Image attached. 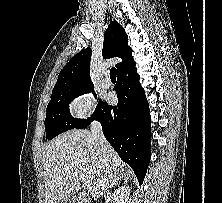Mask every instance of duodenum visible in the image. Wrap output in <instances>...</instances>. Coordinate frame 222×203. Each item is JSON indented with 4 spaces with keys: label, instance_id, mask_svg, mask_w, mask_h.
Wrapping results in <instances>:
<instances>
[{
    "label": "duodenum",
    "instance_id": "1",
    "mask_svg": "<svg viewBox=\"0 0 222 203\" xmlns=\"http://www.w3.org/2000/svg\"><path fill=\"white\" fill-rule=\"evenodd\" d=\"M84 203H89L86 199H84Z\"/></svg>",
    "mask_w": 222,
    "mask_h": 203
}]
</instances>
